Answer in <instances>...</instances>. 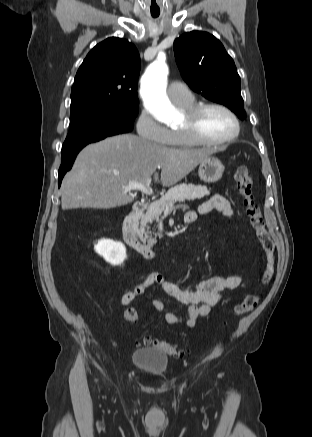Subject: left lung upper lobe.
I'll list each match as a JSON object with an SVG mask.
<instances>
[{
  "mask_svg": "<svg viewBox=\"0 0 312 437\" xmlns=\"http://www.w3.org/2000/svg\"><path fill=\"white\" fill-rule=\"evenodd\" d=\"M174 54L183 79L195 92L246 118L240 77L218 39L207 32L185 33L175 40Z\"/></svg>",
  "mask_w": 312,
  "mask_h": 437,
  "instance_id": "1",
  "label": "left lung upper lobe"
}]
</instances>
